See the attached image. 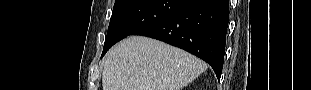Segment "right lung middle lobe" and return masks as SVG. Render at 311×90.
I'll use <instances>...</instances> for the list:
<instances>
[{
	"label": "right lung middle lobe",
	"mask_w": 311,
	"mask_h": 90,
	"mask_svg": "<svg viewBox=\"0 0 311 90\" xmlns=\"http://www.w3.org/2000/svg\"><path fill=\"white\" fill-rule=\"evenodd\" d=\"M183 2L184 0H116L102 56L115 43L159 22Z\"/></svg>",
	"instance_id": "obj_1"
}]
</instances>
